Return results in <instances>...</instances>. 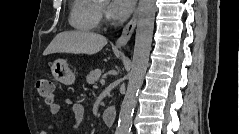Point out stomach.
Listing matches in <instances>:
<instances>
[{"label": "stomach", "instance_id": "stomach-1", "mask_svg": "<svg viewBox=\"0 0 239 134\" xmlns=\"http://www.w3.org/2000/svg\"><path fill=\"white\" fill-rule=\"evenodd\" d=\"M51 72L56 80L63 84H72L75 81V75L64 59H57L51 64Z\"/></svg>", "mask_w": 239, "mask_h": 134}]
</instances>
